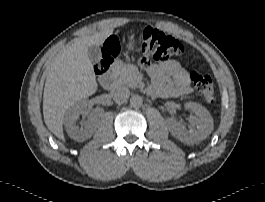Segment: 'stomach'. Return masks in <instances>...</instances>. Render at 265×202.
<instances>
[{"instance_id": "0dacf381", "label": "stomach", "mask_w": 265, "mask_h": 202, "mask_svg": "<svg viewBox=\"0 0 265 202\" xmlns=\"http://www.w3.org/2000/svg\"><path fill=\"white\" fill-rule=\"evenodd\" d=\"M134 46H135L134 40H130L126 47L128 50H132L134 48Z\"/></svg>"}]
</instances>
